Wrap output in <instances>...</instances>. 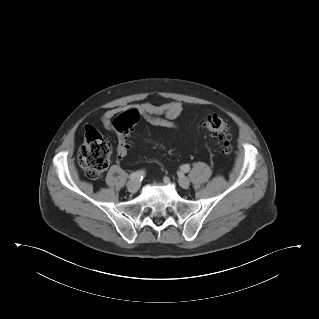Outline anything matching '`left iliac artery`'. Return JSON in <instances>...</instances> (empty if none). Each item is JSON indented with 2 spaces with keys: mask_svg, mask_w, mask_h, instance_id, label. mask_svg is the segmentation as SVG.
<instances>
[{
  "mask_svg": "<svg viewBox=\"0 0 319 319\" xmlns=\"http://www.w3.org/2000/svg\"><path fill=\"white\" fill-rule=\"evenodd\" d=\"M181 170L185 173L190 171V166L188 164L182 165Z\"/></svg>",
  "mask_w": 319,
  "mask_h": 319,
  "instance_id": "44dca946",
  "label": "left iliac artery"
}]
</instances>
